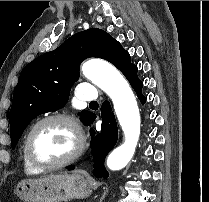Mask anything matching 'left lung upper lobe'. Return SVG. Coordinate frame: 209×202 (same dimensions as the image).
<instances>
[{
    "label": "left lung upper lobe",
    "mask_w": 209,
    "mask_h": 202,
    "mask_svg": "<svg viewBox=\"0 0 209 202\" xmlns=\"http://www.w3.org/2000/svg\"><path fill=\"white\" fill-rule=\"evenodd\" d=\"M89 57L109 61L124 75L135 66L120 43L97 28L76 33L55 50L37 57L23 68L14 90L9 115L12 149L31 120L67 103L70 87L79 78V66ZM80 115L85 125L95 116L86 110Z\"/></svg>",
    "instance_id": "left-lung-upper-lobe-1"
}]
</instances>
